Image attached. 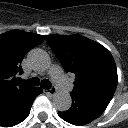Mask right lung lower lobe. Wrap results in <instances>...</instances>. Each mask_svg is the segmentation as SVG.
<instances>
[{"label":"right lung lower lobe","instance_id":"obj_1","mask_svg":"<svg viewBox=\"0 0 128 128\" xmlns=\"http://www.w3.org/2000/svg\"><path fill=\"white\" fill-rule=\"evenodd\" d=\"M42 92L41 88L32 87L12 99L5 108L0 110V126L11 127L25 120L35 98Z\"/></svg>","mask_w":128,"mask_h":128}]
</instances>
